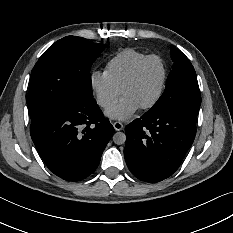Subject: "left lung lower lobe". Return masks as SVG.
Returning <instances> with one entry per match:
<instances>
[{
	"instance_id": "obj_1",
	"label": "left lung lower lobe",
	"mask_w": 233,
	"mask_h": 233,
	"mask_svg": "<svg viewBox=\"0 0 233 233\" xmlns=\"http://www.w3.org/2000/svg\"><path fill=\"white\" fill-rule=\"evenodd\" d=\"M196 119L188 112L144 114L128 124L124 155L131 173L149 183L171 176L194 141Z\"/></svg>"
}]
</instances>
